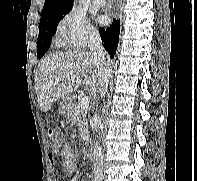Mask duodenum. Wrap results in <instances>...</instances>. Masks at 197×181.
<instances>
[{
    "label": "duodenum",
    "mask_w": 197,
    "mask_h": 181,
    "mask_svg": "<svg viewBox=\"0 0 197 181\" xmlns=\"http://www.w3.org/2000/svg\"><path fill=\"white\" fill-rule=\"evenodd\" d=\"M85 151H86L89 155L92 154V148H91L90 146H86V147H85Z\"/></svg>",
    "instance_id": "1"
}]
</instances>
